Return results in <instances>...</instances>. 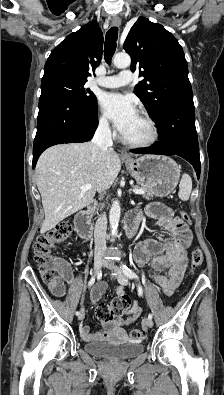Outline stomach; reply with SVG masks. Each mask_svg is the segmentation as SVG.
Segmentation results:
<instances>
[{"instance_id":"0dacf381","label":"stomach","mask_w":224,"mask_h":395,"mask_svg":"<svg viewBox=\"0 0 224 395\" xmlns=\"http://www.w3.org/2000/svg\"><path fill=\"white\" fill-rule=\"evenodd\" d=\"M125 165L137 183L158 197L169 195L180 178L179 165L165 156L145 155L137 159H128Z\"/></svg>"}]
</instances>
